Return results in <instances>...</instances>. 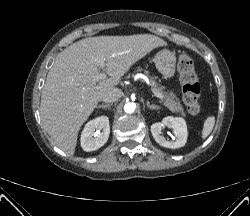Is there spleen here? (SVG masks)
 <instances>
[{"instance_id": "spleen-1", "label": "spleen", "mask_w": 250, "mask_h": 216, "mask_svg": "<svg viewBox=\"0 0 250 216\" xmlns=\"http://www.w3.org/2000/svg\"><path fill=\"white\" fill-rule=\"evenodd\" d=\"M215 125V117L213 115L208 116L203 124L202 132H201V137L203 140H205L210 133L213 130V127Z\"/></svg>"}]
</instances>
